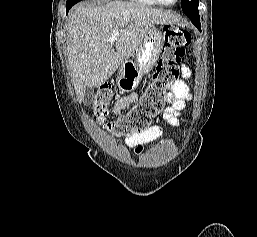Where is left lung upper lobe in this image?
<instances>
[{"instance_id":"obj_1","label":"left lung upper lobe","mask_w":257,"mask_h":237,"mask_svg":"<svg viewBox=\"0 0 257 237\" xmlns=\"http://www.w3.org/2000/svg\"><path fill=\"white\" fill-rule=\"evenodd\" d=\"M198 0H182V10L191 19H199Z\"/></svg>"}]
</instances>
